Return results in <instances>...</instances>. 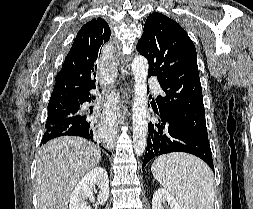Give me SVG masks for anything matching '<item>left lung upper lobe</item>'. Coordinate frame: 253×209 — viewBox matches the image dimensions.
Segmentation results:
<instances>
[{
  "label": "left lung upper lobe",
  "mask_w": 253,
  "mask_h": 209,
  "mask_svg": "<svg viewBox=\"0 0 253 209\" xmlns=\"http://www.w3.org/2000/svg\"><path fill=\"white\" fill-rule=\"evenodd\" d=\"M136 48L148 60V76H157L166 94L156 99L160 115L208 141L197 53L185 30L153 13Z\"/></svg>",
  "instance_id": "left-lung-upper-lobe-1"
}]
</instances>
